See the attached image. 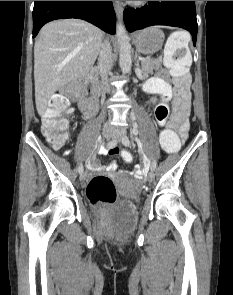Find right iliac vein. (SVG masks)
Masks as SVG:
<instances>
[{"instance_id":"63e3f726","label":"right iliac vein","mask_w":233,"mask_h":295,"mask_svg":"<svg viewBox=\"0 0 233 295\" xmlns=\"http://www.w3.org/2000/svg\"><path fill=\"white\" fill-rule=\"evenodd\" d=\"M103 137L108 139L110 138V136L112 135V129L110 127H105L103 129ZM87 177V173L86 172H83L81 175H80V180H85Z\"/></svg>"}]
</instances>
